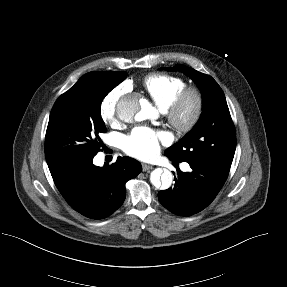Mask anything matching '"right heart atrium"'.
<instances>
[{"label": "right heart atrium", "instance_id": "1", "mask_svg": "<svg viewBox=\"0 0 287 287\" xmlns=\"http://www.w3.org/2000/svg\"><path fill=\"white\" fill-rule=\"evenodd\" d=\"M126 91L127 87L125 85H120L107 93L102 99L99 113L104 123L114 124L117 121L118 103Z\"/></svg>", "mask_w": 287, "mask_h": 287}]
</instances>
